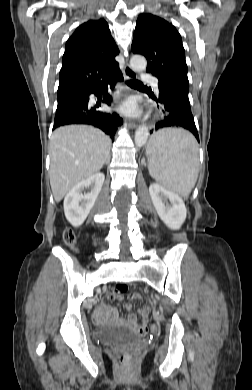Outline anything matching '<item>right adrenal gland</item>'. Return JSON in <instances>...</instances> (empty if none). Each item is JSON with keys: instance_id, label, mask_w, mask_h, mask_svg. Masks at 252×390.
Segmentation results:
<instances>
[{"instance_id": "obj_1", "label": "right adrenal gland", "mask_w": 252, "mask_h": 390, "mask_svg": "<svg viewBox=\"0 0 252 390\" xmlns=\"http://www.w3.org/2000/svg\"><path fill=\"white\" fill-rule=\"evenodd\" d=\"M108 162H109V159L106 161V164H108Z\"/></svg>"}]
</instances>
